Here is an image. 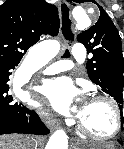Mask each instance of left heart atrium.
Masks as SVG:
<instances>
[{"mask_svg": "<svg viewBox=\"0 0 124 149\" xmlns=\"http://www.w3.org/2000/svg\"><path fill=\"white\" fill-rule=\"evenodd\" d=\"M45 89L51 98L66 108L73 105L77 99H81V103L77 109L78 117H80L84 108L89 104L84 97L83 91L75 87L68 78L56 79L50 82Z\"/></svg>", "mask_w": 124, "mask_h": 149, "instance_id": "39dd6f15", "label": "left heart atrium"}]
</instances>
